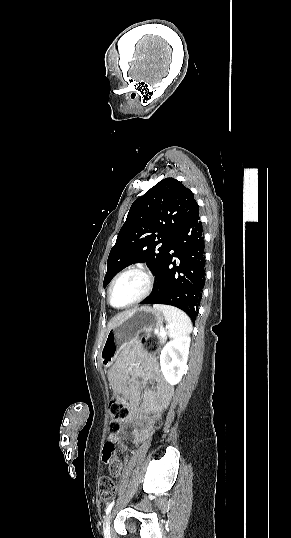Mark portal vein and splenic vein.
Returning <instances> with one entry per match:
<instances>
[{
	"instance_id": "18ae733b",
	"label": "portal vein and splenic vein",
	"mask_w": 291,
	"mask_h": 538,
	"mask_svg": "<svg viewBox=\"0 0 291 538\" xmlns=\"http://www.w3.org/2000/svg\"><path fill=\"white\" fill-rule=\"evenodd\" d=\"M166 335V332H160V336H165Z\"/></svg>"
}]
</instances>
